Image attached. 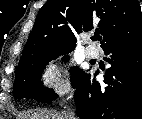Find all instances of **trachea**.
Returning <instances> with one entry per match:
<instances>
[{
  "label": "trachea",
  "mask_w": 142,
  "mask_h": 119,
  "mask_svg": "<svg viewBox=\"0 0 142 119\" xmlns=\"http://www.w3.org/2000/svg\"><path fill=\"white\" fill-rule=\"evenodd\" d=\"M93 41L101 40V36L99 34H95L94 36L91 37Z\"/></svg>",
  "instance_id": "trachea-1"
}]
</instances>
